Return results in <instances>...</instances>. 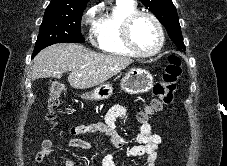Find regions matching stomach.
<instances>
[{
  "label": "stomach",
  "mask_w": 227,
  "mask_h": 166,
  "mask_svg": "<svg viewBox=\"0 0 227 166\" xmlns=\"http://www.w3.org/2000/svg\"><path fill=\"white\" fill-rule=\"evenodd\" d=\"M121 89L130 94L145 93L153 86V76L145 69L134 68L129 70L121 79ZM113 94V87L109 83L101 84L91 92L82 93L85 100H104Z\"/></svg>",
  "instance_id": "0dacf381"
}]
</instances>
